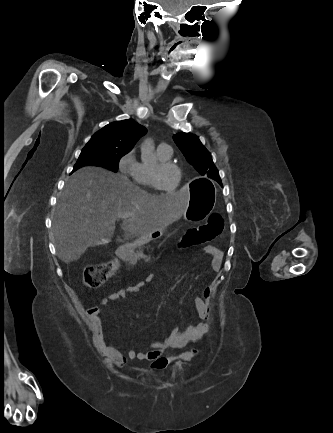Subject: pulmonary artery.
Instances as JSON below:
<instances>
[{"label": "pulmonary artery", "mask_w": 333, "mask_h": 433, "mask_svg": "<svg viewBox=\"0 0 333 433\" xmlns=\"http://www.w3.org/2000/svg\"><path fill=\"white\" fill-rule=\"evenodd\" d=\"M157 151L167 155V156H171L172 155V148L170 145L166 144V143H161L158 145L157 147Z\"/></svg>", "instance_id": "pulmonary-artery-1"}]
</instances>
